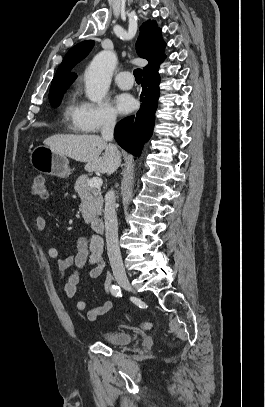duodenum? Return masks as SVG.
<instances>
[{
    "mask_svg": "<svg viewBox=\"0 0 265 407\" xmlns=\"http://www.w3.org/2000/svg\"><path fill=\"white\" fill-rule=\"evenodd\" d=\"M90 228L93 232L101 234L104 232V221L100 218H94L90 222Z\"/></svg>",
    "mask_w": 265,
    "mask_h": 407,
    "instance_id": "1",
    "label": "duodenum"
}]
</instances>
